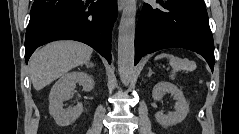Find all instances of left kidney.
<instances>
[{
	"label": "left kidney",
	"mask_w": 239,
	"mask_h": 134,
	"mask_svg": "<svg viewBox=\"0 0 239 134\" xmlns=\"http://www.w3.org/2000/svg\"><path fill=\"white\" fill-rule=\"evenodd\" d=\"M165 93H170L176 100L175 112L165 115L159 111L155 114L156 121L163 127L173 126L182 122L189 112V105L182 93L174 84L170 82H159L153 87L152 98L156 101L162 99Z\"/></svg>",
	"instance_id": "5707ae66"
}]
</instances>
